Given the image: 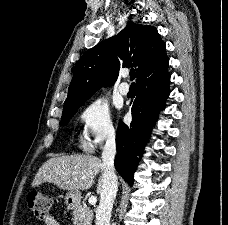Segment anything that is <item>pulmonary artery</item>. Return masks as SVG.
I'll return each instance as SVG.
<instances>
[{"label": "pulmonary artery", "instance_id": "e3ab8cb5", "mask_svg": "<svg viewBox=\"0 0 228 225\" xmlns=\"http://www.w3.org/2000/svg\"><path fill=\"white\" fill-rule=\"evenodd\" d=\"M119 93L122 96H127L129 93V85L126 82H122L118 87Z\"/></svg>", "mask_w": 228, "mask_h": 225}]
</instances>
